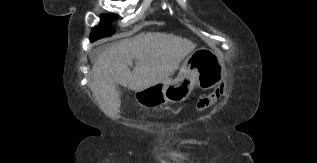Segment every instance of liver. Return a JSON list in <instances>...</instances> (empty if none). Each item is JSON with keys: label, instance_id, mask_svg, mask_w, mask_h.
Here are the masks:
<instances>
[{"label": "liver", "instance_id": "6515ba94", "mask_svg": "<svg viewBox=\"0 0 317 163\" xmlns=\"http://www.w3.org/2000/svg\"><path fill=\"white\" fill-rule=\"evenodd\" d=\"M195 47L188 39L160 32L140 33L106 46L92 61L95 100L115 119L121 106L117 85L137 92L168 80Z\"/></svg>", "mask_w": 317, "mask_h": 163}]
</instances>
